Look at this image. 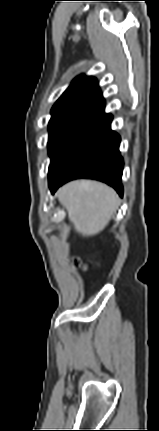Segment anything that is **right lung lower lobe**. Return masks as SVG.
Wrapping results in <instances>:
<instances>
[{
    "label": "right lung lower lobe",
    "mask_w": 159,
    "mask_h": 431,
    "mask_svg": "<svg viewBox=\"0 0 159 431\" xmlns=\"http://www.w3.org/2000/svg\"><path fill=\"white\" fill-rule=\"evenodd\" d=\"M111 114H104L69 136L51 157L48 179L54 193L76 178H90L112 186L123 195V158L120 136L111 130Z\"/></svg>",
    "instance_id": "obj_1"
}]
</instances>
